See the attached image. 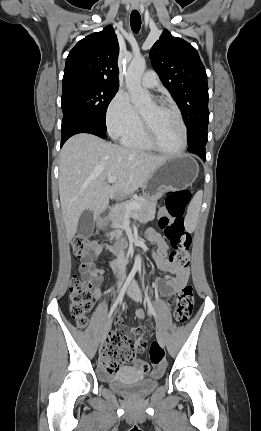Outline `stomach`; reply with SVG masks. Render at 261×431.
<instances>
[{"mask_svg": "<svg viewBox=\"0 0 261 431\" xmlns=\"http://www.w3.org/2000/svg\"><path fill=\"white\" fill-rule=\"evenodd\" d=\"M198 172V163L190 155L167 157L145 181L144 196L155 199L168 190L185 189L193 184Z\"/></svg>", "mask_w": 261, "mask_h": 431, "instance_id": "obj_1", "label": "stomach"}]
</instances>
